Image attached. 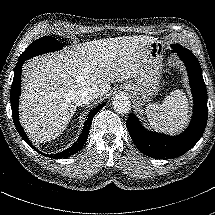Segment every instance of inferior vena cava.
Returning a JSON list of instances; mask_svg holds the SVG:
<instances>
[{"label": "inferior vena cava", "mask_w": 215, "mask_h": 215, "mask_svg": "<svg viewBox=\"0 0 215 215\" xmlns=\"http://www.w3.org/2000/svg\"><path fill=\"white\" fill-rule=\"evenodd\" d=\"M99 97L100 94L96 90L83 87L75 92V104L77 106H85Z\"/></svg>", "instance_id": "obj_1"}]
</instances>
